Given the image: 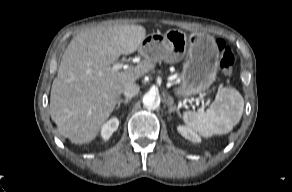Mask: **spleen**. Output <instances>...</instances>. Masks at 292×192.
Returning <instances> with one entry per match:
<instances>
[{"instance_id":"obj_1","label":"spleen","mask_w":292,"mask_h":192,"mask_svg":"<svg viewBox=\"0 0 292 192\" xmlns=\"http://www.w3.org/2000/svg\"><path fill=\"white\" fill-rule=\"evenodd\" d=\"M243 109L242 95L235 88L228 87L218 91L207 112L186 111L182 118L188 128L208 138L231 132L240 121Z\"/></svg>"}]
</instances>
